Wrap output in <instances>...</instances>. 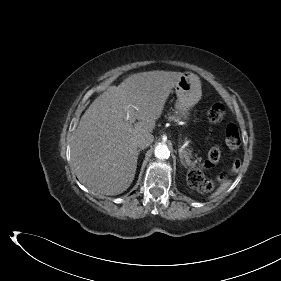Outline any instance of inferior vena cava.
Listing matches in <instances>:
<instances>
[{
	"label": "inferior vena cava",
	"instance_id": "inferior-vena-cava-1",
	"mask_svg": "<svg viewBox=\"0 0 281 281\" xmlns=\"http://www.w3.org/2000/svg\"><path fill=\"white\" fill-rule=\"evenodd\" d=\"M153 140H154V136L150 133H147L138 137L136 143L138 148L144 149L148 147L153 142Z\"/></svg>",
	"mask_w": 281,
	"mask_h": 281
}]
</instances>
